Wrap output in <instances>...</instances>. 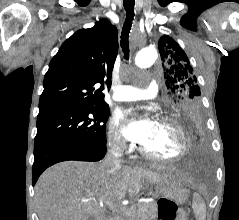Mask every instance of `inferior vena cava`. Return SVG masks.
<instances>
[{
    "instance_id": "inferior-vena-cava-1",
    "label": "inferior vena cava",
    "mask_w": 239,
    "mask_h": 220,
    "mask_svg": "<svg viewBox=\"0 0 239 220\" xmlns=\"http://www.w3.org/2000/svg\"><path fill=\"white\" fill-rule=\"evenodd\" d=\"M125 149V142L123 141H116L111 143L109 146L108 152L105 156L104 163L106 165L120 166L121 163V156L123 154V151Z\"/></svg>"
}]
</instances>
